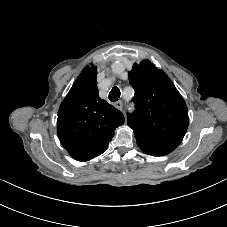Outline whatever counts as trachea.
I'll return each instance as SVG.
<instances>
[{"label": "trachea", "mask_w": 227, "mask_h": 227, "mask_svg": "<svg viewBox=\"0 0 227 227\" xmlns=\"http://www.w3.org/2000/svg\"><path fill=\"white\" fill-rule=\"evenodd\" d=\"M121 92L118 87H113L109 92V99L112 102H115L119 99Z\"/></svg>", "instance_id": "obj_1"}]
</instances>
